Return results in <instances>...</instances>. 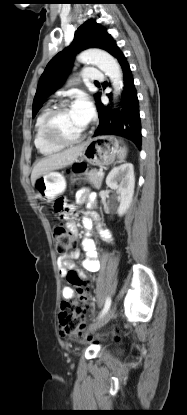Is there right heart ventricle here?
I'll use <instances>...</instances> for the list:
<instances>
[{
	"mask_svg": "<svg viewBox=\"0 0 187 415\" xmlns=\"http://www.w3.org/2000/svg\"><path fill=\"white\" fill-rule=\"evenodd\" d=\"M50 109V106H45L39 113L35 123L34 144L37 150L46 156L53 155L63 148V146L50 143L44 136L43 123Z\"/></svg>",
	"mask_w": 187,
	"mask_h": 415,
	"instance_id": "1",
	"label": "right heart ventricle"
}]
</instances>
